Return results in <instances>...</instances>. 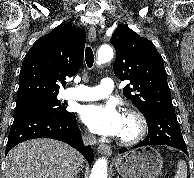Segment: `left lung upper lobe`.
I'll use <instances>...</instances> for the list:
<instances>
[{
	"label": "left lung upper lobe",
	"mask_w": 194,
	"mask_h": 178,
	"mask_svg": "<svg viewBox=\"0 0 194 178\" xmlns=\"http://www.w3.org/2000/svg\"><path fill=\"white\" fill-rule=\"evenodd\" d=\"M116 49L115 75L130 80L123 94L144 113L151 108L173 107L162 56L151 41L120 25L111 37Z\"/></svg>",
	"instance_id": "obj_1"
}]
</instances>
